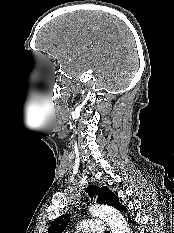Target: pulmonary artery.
<instances>
[{
	"label": "pulmonary artery",
	"mask_w": 174,
	"mask_h": 233,
	"mask_svg": "<svg viewBox=\"0 0 174 233\" xmlns=\"http://www.w3.org/2000/svg\"><path fill=\"white\" fill-rule=\"evenodd\" d=\"M83 233H104L105 223L99 219H90L81 223Z\"/></svg>",
	"instance_id": "obj_1"
}]
</instances>
